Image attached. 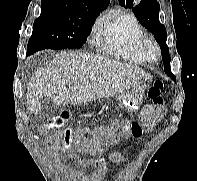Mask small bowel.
I'll return each instance as SVG.
<instances>
[{
  "instance_id": "c3829d8e",
  "label": "small bowel",
  "mask_w": 197,
  "mask_h": 181,
  "mask_svg": "<svg viewBox=\"0 0 197 181\" xmlns=\"http://www.w3.org/2000/svg\"><path fill=\"white\" fill-rule=\"evenodd\" d=\"M69 153L70 159L75 161L79 166L83 168H94L96 170L95 174L93 175L91 181H100L102 176L106 173L107 167L109 164L113 163H119L123 161V156L117 152H113L109 155L108 160L105 161L103 157L100 156V154L94 153L92 151H81L85 155H87L86 158L82 159L78 157L76 154L71 153L70 151H66ZM62 166L69 170V167L62 163Z\"/></svg>"
}]
</instances>
